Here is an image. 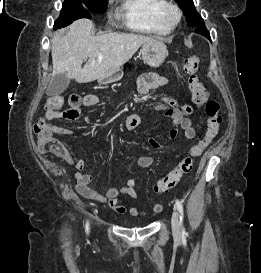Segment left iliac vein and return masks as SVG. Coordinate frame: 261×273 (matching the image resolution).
Segmentation results:
<instances>
[{
  "label": "left iliac vein",
  "instance_id": "1",
  "mask_svg": "<svg viewBox=\"0 0 261 273\" xmlns=\"http://www.w3.org/2000/svg\"><path fill=\"white\" fill-rule=\"evenodd\" d=\"M171 224H172L173 234L175 236H179L181 234V226H180L179 216L176 210H174L172 213Z\"/></svg>",
  "mask_w": 261,
  "mask_h": 273
}]
</instances>
